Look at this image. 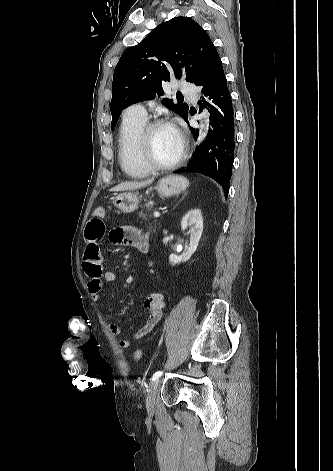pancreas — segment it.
Listing matches in <instances>:
<instances>
[{
	"mask_svg": "<svg viewBox=\"0 0 333 471\" xmlns=\"http://www.w3.org/2000/svg\"><path fill=\"white\" fill-rule=\"evenodd\" d=\"M150 207V204L147 203L144 205V208H149ZM145 210V209H144ZM144 210H141L139 212V217L143 218L144 220H147V218H152V215L151 214H147L146 212H143ZM148 228L150 230H156V222H149L148 223Z\"/></svg>",
	"mask_w": 333,
	"mask_h": 471,
	"instance_id": "obj_1",
	"label": "pancreas"
}]
</instances>
